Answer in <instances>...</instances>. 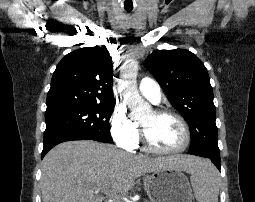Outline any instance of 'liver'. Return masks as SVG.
Returning <instances> with one entry per match:
<instances>
[{"instance_id":"6515ba94","label":"liver","mask_w":255,"mask_h":202,"mask_svg":"<svg viewBox=\"0 0 255 202\" xmlns=\"http://www.w3.org/2000/svg\"><path fill=\"white\" fill-rule=\"evenodd\" d=\"M202 161L191 155L152 158L96 141H68L54 147L42 161V200L102 202L94 190L124 193L145 173L170 168L192 173Z\"/></svg>"}]
</instances>
